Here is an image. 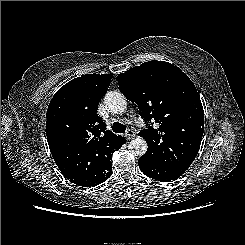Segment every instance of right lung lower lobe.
Instances as JSON below:
<instances>
[{
	"label": "right lung lower lobe",
	"instance_id": "right-lung-lower-lobe-1",
	"mask_svg": "<svg viewBox=\"0 0 245 245\" xmlns=\"http://www.w3.org/2000/svg\"><path fill=\"white\" fill-rule=\"evenodd\" d=\"M125 143V140L117 143L113 147H107V148H100L95 151L94 158H93V164L94 169L96 172H98L100 176L99 184L103 183L105 180H107L112 175V153L115 150H118L121 148V146ZM59 170L62 172V174L72 183H75L77 185H80V176L78 174V171L71 165L69 166H58Z\"/></svg>",
	"mask_w": 245,
	"mask_h": 245
}]
</instances>
